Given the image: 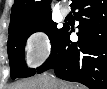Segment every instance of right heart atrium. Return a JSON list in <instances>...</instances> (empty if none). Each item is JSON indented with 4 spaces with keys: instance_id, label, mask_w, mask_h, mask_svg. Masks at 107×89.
I'll list each match as a JSON object with an SVG mask.
<instances>
[{
    "instance_id": "obj_1",
    "label": "right heart atrium",
    "mask_w": 107,
    "mask_h": 89,
    "mask_svg": "<svg viewBox=\"0 0 107 89\" xmlns=\"http://www.w3.org/2000/svg\"><path fill=\"white\" fill-rule=\"evenodd\" d=\"M25 56L30 67L40 65L51 51V39L43 30H37L29 34L25 41Z\"/></svg>"
}]
</instances>
